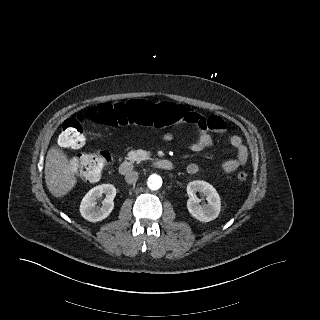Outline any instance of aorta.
<instances>
[{
    "mask_svg": "<svg viewBox=\"0 0 320 320\" xmlns=\"http://www.w3.org/2000/svg\"><path fill=\"white\" fill-rule=\"evenodd\" d=\"M147 185L151 190H158L162 186V178L157 174H152L148 178Z\"/></svg>",
    "mask_w": 320,
    "mask_h": 320,
    "instance_id": "762f6f07",
    "label": "aorta"
}]
</instances>
